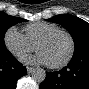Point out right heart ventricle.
Masks as SVG:
<instances>
[{"mask_svg":"<svg viewBox=\"0 0 89 89\" xmlns=\"http://www.w3.org/2000/svg\"><path fill=\"white\" fill-rule=\"evenodd\" d=\"M60 29L58 25L48 22H37L27 25L24 28L25 36L36 45L38 40L49 32Z\"/></svg>","mask_w":89,"mask_h":89,"instance_id":"e07e8e85","label":"right heart ventricle"}]
</instances>
